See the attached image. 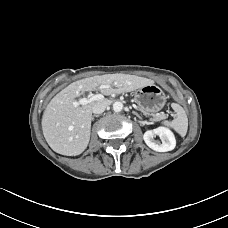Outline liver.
<instances>
[{
	"mask_svg": "<svg viewBox=\"0 0 228 228\" xmlns=\"http://www.w3.org/2000/svg\"><path fill=\"white\" fill-rule=\"evenodd\" d=\"M150 84H154L151 79L121 73L97 75L71 83L49 102L43 113L42 130L48 145L56 153L66 156L79 155L87 148L92 108L97 102L75 106L76 98L85 92L99 88L102 94L109 96Z\"/></svg>",
	"mask_w": 228,
	"mask_h": 228,
	"instance_id": "1",
	"label": "liver"
}]
</instances>
